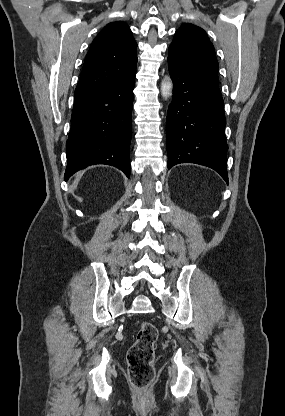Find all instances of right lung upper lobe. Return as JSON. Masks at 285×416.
<instances>
[{"label": "right lung upper lobe", "mask_w": 285, "mask_h": 416, "mask_svg": "<svg viewBox=\"0 0 285 416\" xmlns=\"http://www.w3.org/2000/svg\"><path fill=\"white\" fill-rule=\"evenodd\" d=\"M137 44L127 24H107L87 53L74 100L103 92L136 73Z\"/></svg>", "instance_id": "cb5924a9"}]
</instances>
